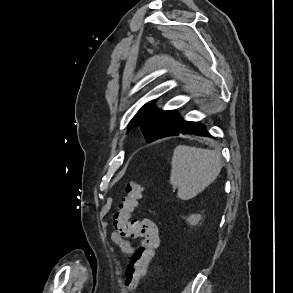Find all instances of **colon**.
<instances>
[{
  "label": "colon",
  "instance_id": "colon-1",
  "mask_svg": "<svg viewBox=\"0 0 293 293\" xmlns=\"http://www.w3.org/2000/svg\"><path fill=\"white\" fill-rule=\"evenodd\" d=\"M126 196L114 216L117 232L128 238H140L139 246L132 253L125 271V283L135 289L144 276L147 266L160 245L157 224L149 219L130 220L131 212L142 197L143 188L140 183L131 181L125 187Z\"/></svg>",
  "mask_w": 293,
  "mask_h": 293
}]
</instances>
